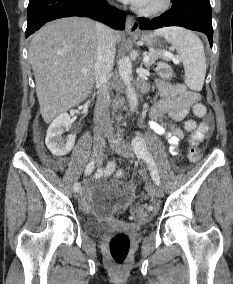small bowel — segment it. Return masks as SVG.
<instances>
[{"mask_svg": "<svg viewBox=\"0 0 233 284\" xmlns=\"http://www.w3.org/2000/svg\"><path fill=\"white\" fill-rule=\"evenodd\" d=\"M157 87L161 93L162 100L156 105L153 114L161 117L169 116L173 121L182 120L189 112L192 105L197 104L200 99L199 94L187 90L181 84H170L167 82H158ZM150 128L157 134L163 135L170 145V153L176 155L179 151L178 144L183 137V132L171 125L169 129L156 121L150 122ZM211 128V119L206 116L203 121L192 130L191 142L197 144L205 139ZM48 163L55 169H62L65 159L53 158ZM90 202L84 200L82 205L89 207Z\"/></svg>", "mask_w": 233, "mask_h": 284, "instance_id": "1", "label": "small bowel"}]
</instances>
